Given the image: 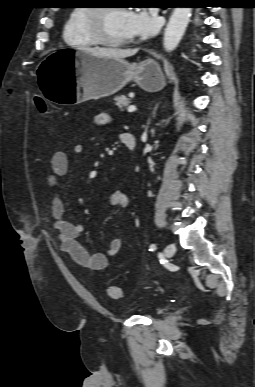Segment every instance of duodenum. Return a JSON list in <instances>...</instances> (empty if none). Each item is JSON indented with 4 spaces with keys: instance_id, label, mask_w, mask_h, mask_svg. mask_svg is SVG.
<instances>
[{
    "instance_id": "1",
    "label": "duodenum",
    "mask_w": 255,
    "mask_h": 387,
    "mask_svg": "<svg viewBox=\"0 0 255 387\" xmlns=\"http://www.w3.org/2000/svg\"><path fill=\"white\" fill-rule=\"evenodd\" d=\"M121 141L131 151L136 147V138L131 133H123L121 135Z\"/></svg>"
}]
</instances>
